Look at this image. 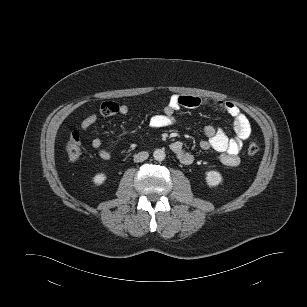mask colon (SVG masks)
Wrapping results in <instances>:
<instances>
[{
	"mask_svg": "<svg viewBox=\"0 0 307 307\" xmlns=\"http://www.w3.org/2000/svg\"><path fill=\"white\" fill-rule=\"evenodd\" d=\"M66 154L70 160H77L81 155V140L78 132H73L65 146ZM259 146L256 143H250L247 147V153L251 156L256 155Z\"/></svg>",
	"mask_w": 307,
	"mask_h": 307,
	"instance_id": "colon-1",
	"label": "colon"
}]
</instances>
